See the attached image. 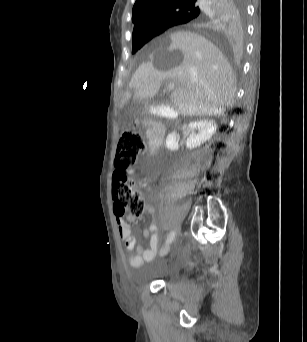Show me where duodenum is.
<instances>
[{
	"mask_svg": "<svg viewBox=\"0 0 307 342\" xmlns=\"http://www.w3.org/2000/svg\"><path fill=\"white\" fill-rule=\"evenodd\" d=\"M144 121L146 123L149 122L147 125L149 127L151 126L148 139L149 152L151 154H156L163 146L165 139V128L161 123L156 122L154 117H151L150 119L146 118Z\"/></svg>",
	"mask_w": 307,
	"mask_h": 342,
	"instance_id": "obj_1",
	"label": "duodenum"
}]
</instances>
